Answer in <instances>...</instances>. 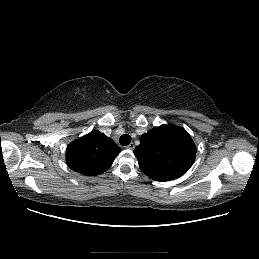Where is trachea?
<instances>
[{
  "label": "trachea",
  "instance_id": "1",
  "mask_svg": "<svg viewBox=\"0 0 259 259\" xmlns=\"http://www.w3.org/2000/svg\"><path fill=\"white\" fill-rule=\"evenodd\" d=\"M119 142L122 146H127L131 142V136L124 134L120 137Z\"/></svg>",
  "mask_w": 259,
  "mask_h": 259
}]
</instances>
